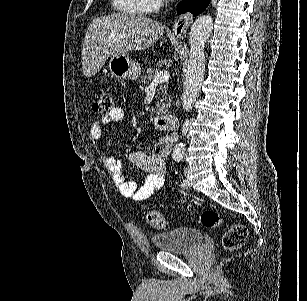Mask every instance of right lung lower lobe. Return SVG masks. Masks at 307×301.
Segmentation results:
<instances>
[{"mask_svg": "<svg viewBox=\"0 0 307 301\" xmlns=\"http://www.w3.org/2000/svg\"><path fill=\"white\" fill-rule=\"evenodd\" d=\"M209 3L210 0H183L177 5V13L182 14L189 11L196 16L204 11Z\"/></svg>", "mask_w": 307, "mask_h": 301, "instance_id": "right-lung-lower-lobe-1", "label": "right lung lower lobe"}]
</instances>
